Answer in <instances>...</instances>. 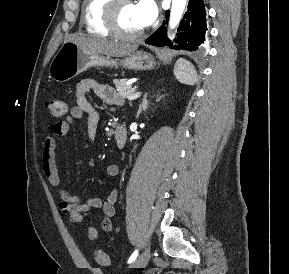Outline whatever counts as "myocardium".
Listing matches in <instances>:
<instances>
[{"mask_svg":"<svg viewBox=\"0 0 289 274\" xmlns=\"http://www.w3.org/2000/svg\"><path fill=\"white\" fill-rule=\"evenodd\" d=\"M132 0H109L104 10V24L109 32L117 38L135 40L145 34V29L137 32H125L121 29L118 21L119 11L122 5L132 4Z\"/></svg>","mask_w":289,"mask_h":274,"instance_id":"1","label":"myocardium"}]
</instances>
